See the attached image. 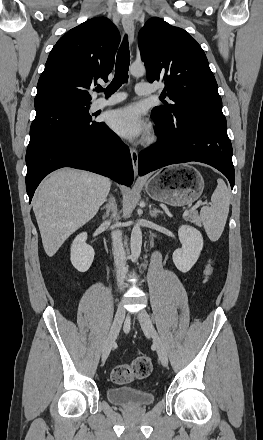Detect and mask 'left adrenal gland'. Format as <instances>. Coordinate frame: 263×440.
<instances>
[{"label":"left adrenal gland","mask_w":263,"mask_h":440,"mask_svg":"<svg viewBox=\"0 0 263 440\" xmlns=\"http://www.w3.org/2000/svg\"><path fill=\"white\" fill-rule=\"evenodd\" d=\"M149 213H150V216L153 218H156L158 214H163V212L160 209H156V208L152 209L151 207H150Z\"/></svg>","instance_id":"a2214340"}]
</instances>
